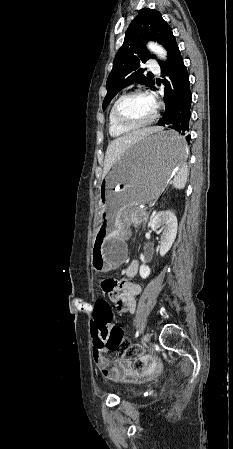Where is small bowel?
I'll list each match as a JSON object with an SVG mask.
<instances>
[{
  "label": "small bowel",
  "mask_w": 233,
  "mask_h": 449,
  "mask_svg": "<svg viewBox=\"0 0 233 449\" xmlns=\"http://www.w3.org/2000/svg\"><path fill=\"white\" fill-rule=\"evenodd\" d=\"M138 272V262L131 261L124 272V277L118 280L112 276L101 279V289L104 295L115 303L120 311L134 314L136 311V297L141 292V287L131 281ZM96 310V309H94ZM94 334H92L93 337ZM106 349H93L95 366L110 381L123 379L131 374L129 359L120 355L115 359L114 365L109 367L110 361L105 356ZM160 361L159 354H148L145 361L146 368H139V377H152L154 370Z\"/></svg>",
  "instance_id": "small-bowel-1"
}]
</instances>
